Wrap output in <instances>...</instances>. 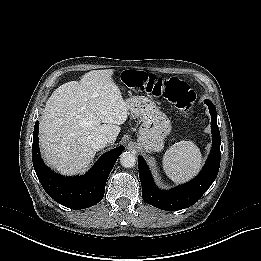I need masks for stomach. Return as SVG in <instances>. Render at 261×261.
Returning a JSON list of instances; mask_svg holds the SVG:
<instances>
[{
  "label": "stomach",
  "instance_id": "stomach-1",
  "mask_svg": "<svg viewBox=\"0 0 261 261\" xmlns=\"http://www.w3.org/2000/svg\"><path fill=\"white\" fill-rule=\"evenodd\" d=\"M127 103L131 114L142 122L138 132V143L142 149L147 153L161 151L172 128L168 116L146 97L133 96Z\"/></svg>",
  "mask_w": 261,
  "mask_h": 261
}]
</instances>
